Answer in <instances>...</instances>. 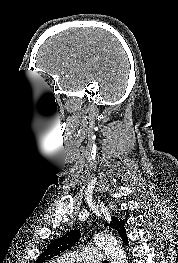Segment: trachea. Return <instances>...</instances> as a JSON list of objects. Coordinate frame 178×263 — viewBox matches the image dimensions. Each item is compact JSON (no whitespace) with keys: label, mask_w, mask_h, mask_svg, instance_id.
<instances>
[{"label":"trachea","mask_w":178,"mask_h":263,"mask_svg":"<svg viewBox=\"0 0 178 263\" xmlns=\"http://www.w3.org/2000/svg\"><path fill=\"white\" fill-rule=\"evenodd\" d=\"M103 263H109L107 260H105Z\"/></svg>","instance_id":"obj_1"}]
</instances>
